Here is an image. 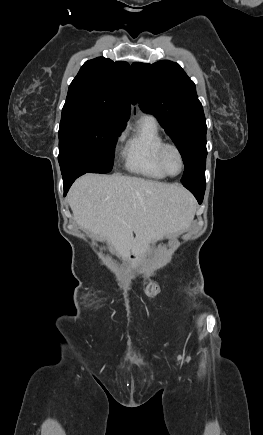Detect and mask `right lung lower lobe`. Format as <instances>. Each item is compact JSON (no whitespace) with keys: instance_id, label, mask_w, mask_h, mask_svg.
<instances>
[{"instance_id":"obj_1","label":"right lung lower lobe","mask_w":263,"mask_h":435,"mask_svg":"<svg viewBox=\"0 0 263 435\" xmlns=\"http://www.w3.org/2000/svg\"><path fill=\"white\" fill-rule=\"evenodd\" d=\"M85 174L84 172H74L71 173L65 177H63V185H64V195H66V193L68 192L70 186L72 185V183L75 181V179H77L79 176Z\"/></svg>"}]
</instances>
